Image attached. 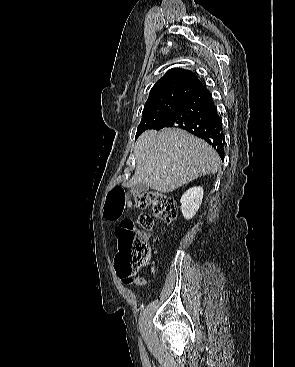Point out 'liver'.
<instances>
[{
	"instance_id": "liver-1",
	"label": "liver",
	"mask_w": 295,
	"mask_h": 367,
	"mask_svg": "<svg viewBox=\"0 0 295 367\" xmlns=\"http://www.w3.org/2000/svg\"><path fill=\"white\" fill-rule=\"evenodd\" d=\"M136 170L128 186L143 183L168 193L220 168L217 152L190 133L168 128L147 130L136 141Z\"/></svg>"
}]
</instances>
